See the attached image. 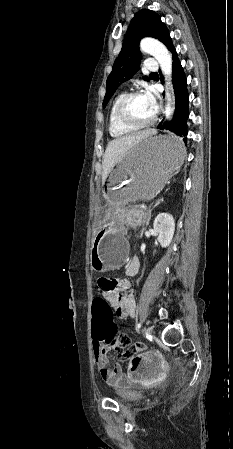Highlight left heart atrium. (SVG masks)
I'll return each mask as SVG.
<instances>
[{
	"label": "left heart atrium",
	"mask_w": 233,
	"mask_h": 449,
	"mask_svg": "<svg viewBox=\"0 0 233 449\" xmlns=\"http://www.w3.org/2000/svg\"><path fill=\"white\" fill-rule=\"evenodd\" d=\"M145 97L148 99L152 109L154 111H156L157 109V98H156V94L152 91V90H147L144 93Z\"/></svg>",
	"instance_id": "1"
}]
</instances>
